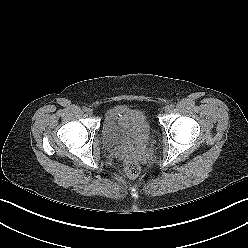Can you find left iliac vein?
<instances>
[{
    "instance_id": "obj_1",
    "label": "left iliac vein",
    "mask_w": 248,
    "mask_h": 248,
    "mask_svg": "<svg viewBox=\"0 0 248 248\" xmlns=\"http://www.w3.org/2000/svg\"><path fill=\"white\" fill-rule=\"evenodd\" d=\"M164 112L169 113L171 111V107L169 105L164 106Z\"/></svg>"
}]
</instances>
